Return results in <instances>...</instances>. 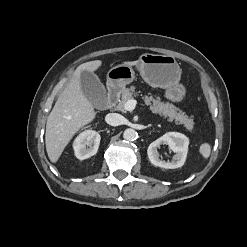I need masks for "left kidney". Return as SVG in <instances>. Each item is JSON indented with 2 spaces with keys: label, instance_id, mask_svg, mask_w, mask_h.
Returning <instances> with one entry per match:
<instances>
[{
  "label": "left kidney",
  "instance_id": "1",
  "mask_svg": "<svg viewBox=\"0 0 247 247\" xmlns=\"http://www.w3.org/2000/svg\"><path fill=\"white\" fill-rule=\"evenodd\" d=\"M162 144L168 145L175 153L171 162L160 160L157 148ZM188 145L189 139L184 134L168 132L149 145L147 154L153 165L165 169H175L184 165L188 152Z\"/></svg>",
  "mask_w": 247,
  "mask_h": 247
}]
</instances>
